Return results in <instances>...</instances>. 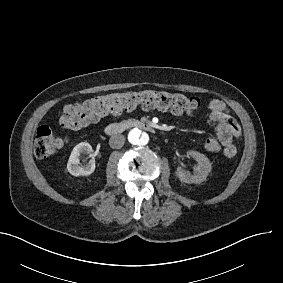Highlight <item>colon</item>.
Masks as SVG:
<instances>
[{
	"mask_svg": "<svg viewBox=\"0 0 283 283\" xmlns=\"http://www.w3.org/2000/svg\"><path fill=\"white\" fill-rule=\"evenodd\" d=\"M200 105L199 98L178 92L143 90L109 93L92 97L81 103H68L62 108L59 125L77 130L106 115H120L137 106L145 109H170L176 112H193ZM67 140L56 135L49 127L37 130L34 140V154L37 158L48 157L66 147ZM203 148L208 153H217L221 144L214 138H207Z\"/></svg>",
	"mask_w": 283,
	"mask_h": 283,
	"instance_id": "obj_1",
	"label": "colon"
}]
</instances>
